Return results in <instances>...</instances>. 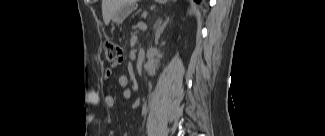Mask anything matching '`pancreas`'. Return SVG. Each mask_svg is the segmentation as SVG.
Here are the masks:
<instances>
[{
  "label": "pancreas",
  "instance_id": "1",
  "mask_svg": "<svg viewBox=\"0 0 325 136\" xmlns=\"http://www.w3.org/2000/svg\"><path fill=\"white\" fill-rule=\"evenodd\" d=\"M146 9L144 7H141V9H136L135 12H132L130 15L129 22L130 24H137L138 19H140L141 16H146Z\"/></svg>",
  "mask_w": 325,
  "mask_h": 136
}]
</instances>
